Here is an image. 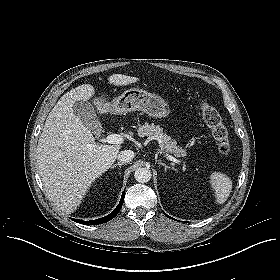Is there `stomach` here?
Here are the masks:
<instances>
[{"label": "stomach", "mask_w": 280, "mask_h": 280, "mask_svg": "<svg viewBox=\"0 0 280 280\" xmlns=\"http://www.w3.org/2000/svg\"><path fill=\"white\" fill-rule=\"evenodd\" d=\"M114 114H126L140 110L153 118H166L170 114L169 104L157 94L138 88H131L114 98L110 103Z\"/></svg>", "instance_id": "0dacf381"}]
</instances>
